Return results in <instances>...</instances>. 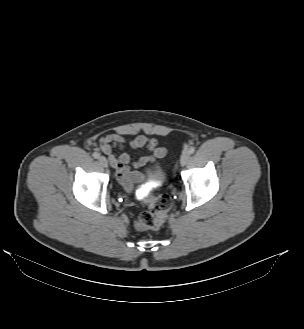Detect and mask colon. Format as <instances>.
<instances>
[{
  "label": "colon",
  "mask_w": 304,
  "mask_h": 329,
  "mask_svg": "<svg viewBox=\"0 0 304 329\" xmlns=\"http://www.w3.org/2000/svg\"><path fill=\"white\" fill-rule=\"evenodd\" d=\"M171 205V197L167 194L150 197L147 202L148 210L139 216L135 226L139 229L158 230L164 223Z\"/></svg>",
  "instance_id": "colon-1"
}]
</instances>
